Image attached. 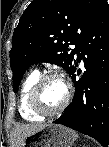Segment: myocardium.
<instances>
[{"mask_svg": "<svg viewBox=\"0 0 109 147\" xmlns=\"http://www.w3.org/2000/svg\"><path fill=\"white\" fill-rule=\"evenodd\" d=\"M50 79H59L61 80L66 87V95L65 99L62 102L60 106H58L54 110H46L42 107L39 101V96L41 89L44 85V83ZM71 98V86L66 78V76L62 73L59 72H52V73H47L39 76L35 84L33 85L31 92L28 97V107L29 109L36 115L41 116V117H48V116H56L62 113L66 107L68 106Z\"/></svg>", "mask_w": 109, "mask_h": 147, "instance_id": "1", "label": "myocardium"}]
</instances>
